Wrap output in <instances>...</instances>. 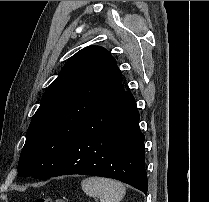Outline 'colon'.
<instances>
[{
    "mask_svg": "<svg viewBox=\"0 0 209 202\" xmlns=\"http://www.w3.org/2000/svg\"><path fill=\"white\" fill-rule=\"evenodd\" d=\"M35 202H67L65 199H62V198H58V199H51V198H48V197H40L38 198Z\"/></svg>",
    "mask_w": 209,
    "mask_h": 202,
    "instance_id": "obj_1",
    "label": "colon"
}]
</instances>
